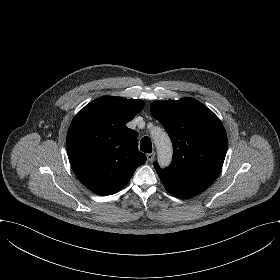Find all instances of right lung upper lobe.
<instances>
[{"label":"right lung upper lobe","instance_id":"1","mask_svg":"<svg viewBox=\"0 0 280 280\" xmlns=\"http://www.w3.org/2000/svg\"><path fill=\"white\" fill-rule=\"evenodd\" d=\"M144 107L142 100L103 96L80 110L67 133V153L80 182L99 195L120 191L146 162L137 133L126 123Z\"/></svg>","mask_w":280,"mask_h":280}]
</instances>
